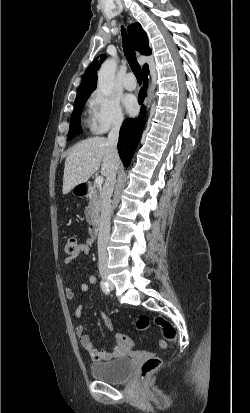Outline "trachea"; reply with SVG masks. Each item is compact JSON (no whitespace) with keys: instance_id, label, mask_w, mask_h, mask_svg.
Masks as SVG:
<instances>
[{"instance_id":"1","label":"trachea","mask_w":250,"mask_h":413,"mask_svg":"<svg viewBox=\"0 0 250 413\" xmlns=\"http://www.w3.org/2000/svg\"><path fill=\"white\" fill-rule=\"evenodd\" d=\"M122 31V40H123V50H124V55L129 63V65L131 66V69L134 73V75L136 76V79L138 81V83H142V73H141V67L138 64L137 60H136V54L134 51V48L131 44V42L129 41L125 29L122 27L121 29Z\"/></svg>"}]
</instances>
